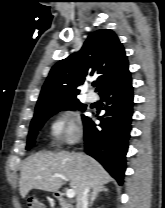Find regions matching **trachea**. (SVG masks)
Listing matches in <instances>:
<instances>
[{
    "label": "trachea",
    "mask_w": 165,
    "mask_h": 208,
    "mask_svg": "<svg viewBox=\"0 0 165 208\" xmlns=\"http://www.w3.org/2000/svg\"><path fill=\"white\" fill-rule=\"evenodd\" d=\"M93 86L96 87L97 86V83H93Z\"/></svg>",
    "instance_id": "3493384b"
}]
</instances>
